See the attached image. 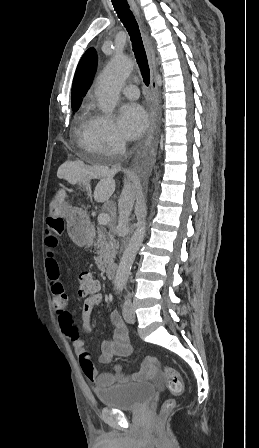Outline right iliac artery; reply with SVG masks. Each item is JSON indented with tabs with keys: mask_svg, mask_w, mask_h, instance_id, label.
<instances>
[{
	"mask_svg": "<svg viewBox=\"0 0 259 448\" xmlns=\"http://www.w3.org/2000/svg\"><path fill=\"white\" fill-rule=\"evenodd\" d=\"M119 286H120V285L118 284V285H117V288H119Z\"/></svg>",
	"mask_w": 259,
	"mask_h": 448,
	"instance_id": "obj_1",
	"label": "right iliac artery"
}]
</instances>
